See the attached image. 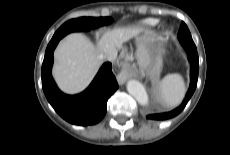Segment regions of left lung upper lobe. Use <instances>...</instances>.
<instances>
[{"instance_id":"obj_1","label":"left lung upper lobe","mask_w":230,"mask_h":155,"mask_svg":"<svg viewBox=\"0 0 230 155\" xmlns=\"http://www.w3.org/2000/svg\"><path fill=\"white\" fill-rule=\"evenodd\" d=\"M178 39L182 46L187 43L194 44L190 31L184 22L181 23V27L178 31Z\"/></svg>"}]
</instances>
